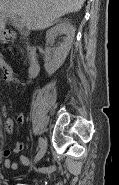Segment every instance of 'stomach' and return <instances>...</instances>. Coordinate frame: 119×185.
Returning <instances> with one entry per match:
<instances>
[{
	"mask_svg": "<svg viewBox=\"0 0 119 185\" xmlns=\"http://www.w3.org/2000/svg\"><path fill=\"white\" fill-rule=\"evenodd\" d=\"M6 37H7V35L4 32V30H0V41H5Z\"/></svg>",
	"mask_w": 119,
	"mask_h": 185,
	"instance_id": "obj_1",
	"label": "stomach"
}]
</instances>
